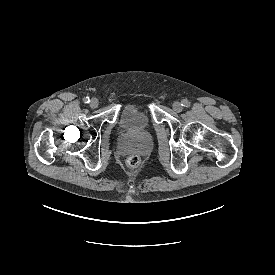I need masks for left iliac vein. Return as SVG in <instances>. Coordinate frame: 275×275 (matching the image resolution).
Returning a JSON list of instances; mask_svg holds the SVG:
<instances>
[{"label":"left iliac vein","mask_w":275,"mask_h":275,"mask_svg":"<svg viewBox=\"0 0 275 275\" xmlns=\"http://www.w3.org/2000/svg\"><path fill=\"white\" fill-rule=\"evenodd\" d=\"M172 107L176 112H181L182 111V105H181L180 102H177V101L174 102Z\"/></svg>","instance_id":"left-iliac-vein-1"}]
</instances>
